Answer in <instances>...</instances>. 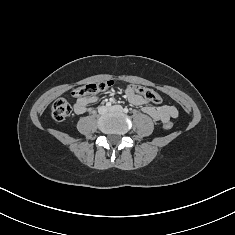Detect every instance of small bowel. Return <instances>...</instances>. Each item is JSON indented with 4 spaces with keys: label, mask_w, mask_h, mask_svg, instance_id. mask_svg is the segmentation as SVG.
I'll list each match as a JSON object with an SVG mask.
<instances>
[{
    "label": "small bowel",
    "mask_w": 235,
    "mask_h": 235,
    "mask_svg": "<svg viewBox=\"0 0 235 235\" xmlns=\"http://www.w3.org/2000/svg\"><path fill=\"white\" fill-rule=\"evenodd\" d=\"M125 96L127 100L136 106H142L143 111L153 118L156 121H160L162 123H167L171 119H174L178 116V111L176 107L172 105H163V106H153L149 105L147 100H145L142 96L135 93L130 87H127L125 90ZM97 101L96 96H85L77 98L74 104V111L77 114H83L88 109L89 106Z\"/></svg>",
    "instance_id": "c3829d8e"
}]
</instances>
